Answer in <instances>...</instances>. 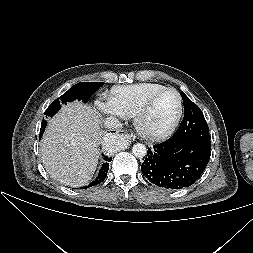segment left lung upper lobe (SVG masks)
Returning <instances> with one entry per match:
<instances>
[{
	"mask_svg": "<svg viewBox=\"0 0 253 253\" xmlns=\"http://www.w3.org/2000/svg\"><path fill=\"white\" fill-rule=\"evenodd\" d=\"M184 103V118L171 137L179 140H192L211 147L209 128L201 109L181 92Z\"/></svg>",
	"mask_w": 253,
	"mask_h": 253,
	"instance_id": "obj_1",
	"label": "left lung upper lobe"
}]
</instances>
